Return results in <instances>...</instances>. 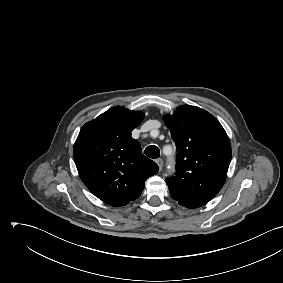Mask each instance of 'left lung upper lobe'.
<instances>
[{
	"label": "left lung upper lobe",
	"instance_id": "obj_1",
	"mask_svg": "<svg viewBox=\"0 0 283 283\" xmlns=\"http://www.w3.org/2000/svg\"><path fill=\"white\" fill-rule=\"evenodd\" d=\"M164 121L177 147L176 173L166 178L170 195L183 207L199 208L226 180L230 140L213 115L195 106L183 105Z\"/></svg>",
	"mask_w": 283,
	"mask_h": 283
}]
</instances>
